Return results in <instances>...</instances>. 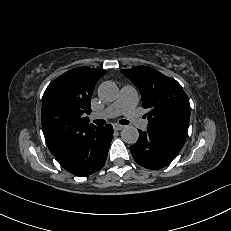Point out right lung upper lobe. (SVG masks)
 I'll use <instances>...</instances> for the list:
<instances>
[{
	"label": "right lung upper lobe",
	"mask_w": 231,
	"mask_h": 231,
	"mask_svg": "<svg viewBox=\"0 0 231 231\" xmlns=\"http://www.w3.org/2000/svg\"><path fill=\"white\" fill-rule=\"evenodd\" d=\"M105 73L95 68H74L52 81L45 90L41 119L52 154L68 147L77 131L93 125L86 114L91 113L95 84Z\"/></svg>",
	"instance_id": "cb5924a9"
}]
</instances>
